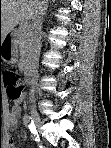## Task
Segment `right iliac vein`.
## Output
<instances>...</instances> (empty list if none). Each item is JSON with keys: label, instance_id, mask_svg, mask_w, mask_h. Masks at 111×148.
Instances as JSON below:
<instances>
[{"label": "right iliac vein", "instance_id": "63e3f726", "mask_svg": "<svg viewBox=\"0 0 111 148\" xmlns=\"http://www.w3.org/2000/svg\"><path fill=\"white\" fill-rule=\"evenodd\" d=\"M30 113H31V117H32V120L34 122V124L39 127L40 124H41V119H40V116L39 114L37 113L36 109L34 107H31L30 108Z\"/></svg>", "mask_w": 111, "mask_h": 148}]
</instances>
